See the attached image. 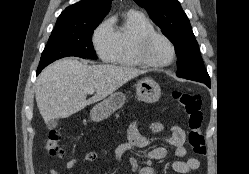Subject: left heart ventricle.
Listing matches in <instances>:
<instances>
[{
    "instance_id": "obj_1",
    "label": "left heart ventricle",
    "mask_w": 249,
    "mask_h": 174,
    "mask_svg": "<svg viewBox=\"0 0 249 174\" xmlns=\"http://www.w3.org/2000/svg\"><path fill=\"white\" fill-rule=\"evenodd\" d=\"M150 55L156 60L167 61L171 57V49L164 40L157 39L151 45Z\"/></svg>"
}]
</instances>
